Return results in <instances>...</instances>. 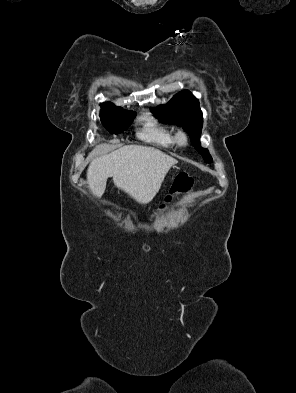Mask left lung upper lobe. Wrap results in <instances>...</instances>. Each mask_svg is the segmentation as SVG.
I'll return each mask as SVG.
<instances>
[{"instance_id": "left-lung-upper-lobe-1", "label": "left lung upper lobe", "mask_w": 296, "mask_h": 393, "mask_svg": "<svg viewBox=\"0 0 296 393\" xmlns=\"http://www.w3.org/2000/svg\"><path fill=\"white\" fill-rule=\"evenodd\" d=\"M151 111L164 123L182 126L190 135L193 146L202 154L204 161L212 162L208 150L200 146L203 116L198 100L189 91L176 94L166 105L152 108Z\"/></svg>"}]
</instances>
